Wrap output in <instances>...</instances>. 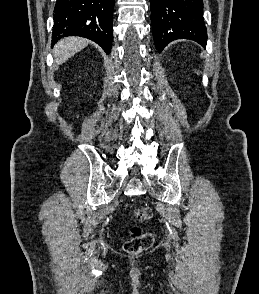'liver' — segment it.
Returning a JSON list of instances; mask_svg holds the SVG:
<instances>
[{"label":"liver","instance_id":"liver-1","mask_svg":"<svg viewBox=\"0 0 259 294\" xmlns=\"http://www.w3.org/2000/svg\"><path fill=\"white\" fill-rule=\"evenodd\" d=\"M88 43L89 41L87 39L80 37H67L61 39L53 49L56 67L84 49Z\"/></svg>","mask_w":259,"mask_h":294}]
</instances>
